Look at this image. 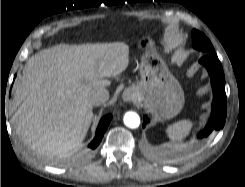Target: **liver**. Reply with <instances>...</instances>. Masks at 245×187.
Here are the masks:
<instances>
[{"instance_id":"6515ba94","label":"liver","mask_w":245,"mask_h":187,"mask_svg":"<svg viewBox=\"0 0 245 187\" xmlns=\"http://www.w3.org/2000/svg\"><path fill=\"white\" fill-rule=\"evenodd\" d=\"M129 63L123 42L57 44L30 57L14 86L17 134L38 154L65 155L84 140L94 117L89 94Z\"/></svg>"}]
</instances>
